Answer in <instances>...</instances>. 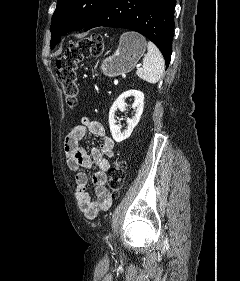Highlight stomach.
Masks as SVG:
<instances>
[{
    "label": "stomach",
    "mask_w": 240,
    "mask_h": 281,
    "mask_svg": "<svg viewBox=\"0 0 240 281\" xmlns=\"http://www.w3.org/2000/svg\"><path fill=\"white\" fill-rule=\"evenodd\" d=\"M146 49L145 38L135 32L124 33L120 37L116 52L101 63L102 72L115 77L133 70Z\"/></svg>",
    "instance_id": "stomach-1"
}]
</instances>
